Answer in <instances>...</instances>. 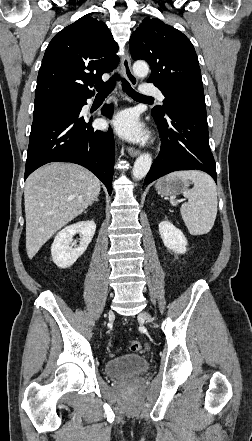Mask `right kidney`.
<instances>
[{
    "mask_svg": "<svg viewBox=\"0 0 252 441\" xmlns=\"http://www.w3.org/2000/svg\"><path fill=\"white\" fill-rule=\"evenodd\" d=\"M96 224L94 221L78 222L65 227L58 232L51 246L52 261L59 268H68L86 251L95 234ZM79 233L80 245L70 248L69 244L75 234Z\"/></svg>",
    "mask_w": 252,
    "mask_h": 441,
    "instance_id": "obj_1",
    "label": "right kidney"
}]
</instances>
